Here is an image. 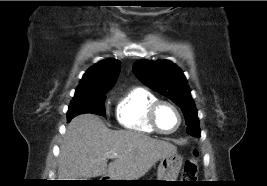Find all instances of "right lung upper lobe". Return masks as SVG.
<instances>
[{"label":"right lung upper lobe","instance_id":"obj_1","mask_svg":"<svg viewBox=\"0 0 267 186\" xmlns=\"http://www.w3.org/2000/svg\"><path fill=\"white\" fill-rule=\"evenodd\" d=\"M120 71V61L106 59L90 67L83 75L76 92L110 89Z\"/></svg>","mask_w":267,"mask_h":186}]
</instances>
